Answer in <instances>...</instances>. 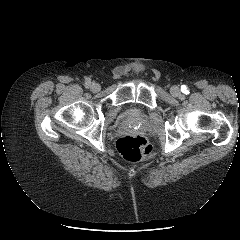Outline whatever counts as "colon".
<instances>
[{
    "mask_svg": "<svg viewBox=\"0 0 240 240\" xmlns=\"http://www.w3.org/2000/svg\"><path fill=\"white\" fill-rule=\"evenodd\" d=\"M116 147L120 155L129 161H139L152 152L151 144L138 135H126L119 138Z\"/></svg>",
    "mask_w": 240,
    "mask_h": 240,
    "instance_id": "1",
    "label": "colon"
}]
</instances>
